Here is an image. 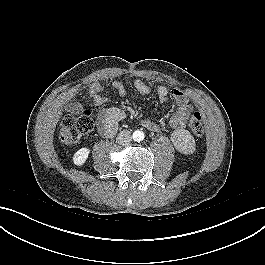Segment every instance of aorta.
<instances>
[{
  "instance_id": "1",
  "label": "aorta",
  "mask_w": 265,
  "mask_h": 265,
  "mask_svg": "<svg viewBox=\"0 0 265 265\" xmlns=\"http://www.w3.org/2000/svg\"><path fill=\"white\" fill-rule=\"evenodd\" d=\"M133 139L136 142H140L144 139V133L140 130H136L133 132Z\"/></svg>"
}]
</instances>
